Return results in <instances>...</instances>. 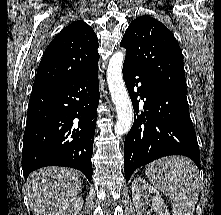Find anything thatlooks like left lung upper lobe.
Masks as SVG:
<instances>
[{
	"label": "left lung upper lobe",
	"mask_w": 221,
	"mask_h": 215,
	"mask_svg": "<svg viewBox=\"0 0 221 215\" xmlns=\"http://www.w3.org/2000/svg\"><path fill=\"white\" fill-rule=\"evenodd\" d=\"M125 62L140 72L186 93L183 55L173 34L149 16L135 19L120 43Z\"/></svg>",
	"instance_id": "left-lung-upper-lobe-1"
}]
</instances>
